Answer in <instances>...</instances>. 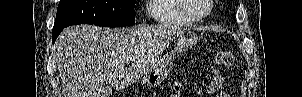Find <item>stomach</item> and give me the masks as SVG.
<instances>
[{
  "mask_svg": "<svg viewBox=\"0 0 302 97\" xmlns=\"http://www.w3.org/2000/svg\"><path fill=\"white\" fill-rule=\"evenodd\" d=\"M198 37L191 31H184L175 37V49L166 54L144 76L142 82L148 87H156L169 74L176 53H181L197 43Z\"/></svg>",
  "mask_w": 302,
  "mask_h": 97,
  "instance_id": "1",
  "label": "stomach"
}]
</instances>
